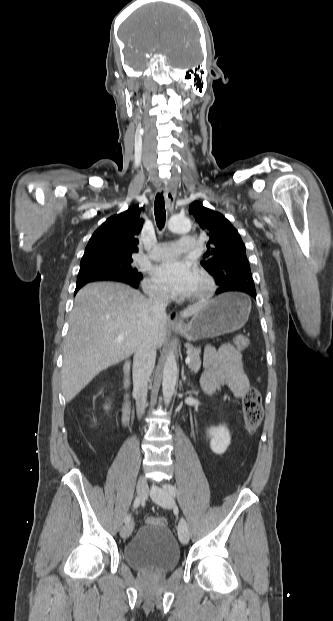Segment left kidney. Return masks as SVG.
Returning <instances> with one entry per match:
<instances>
[{"mask_svg": "<svg viewBox=\"0 0 333 621\" xmlns=\"http://www.w3.org/2000/svg\"><path fill=\"white\" fill-rule=\"evenodd\" d=\"M207 435L210 437V448L215 454H223L230 445L231 437L225 425L210 427Z\"/></svg>", "mask_w": 333, "mask_h": 621, "instance_id": "left-kidney-1", "label": "left kidney"}]
</instances>
